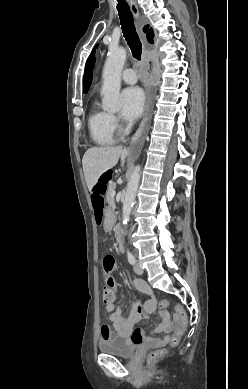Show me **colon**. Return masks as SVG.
I'll use <instances>...</instances> for the list:
<instances>
[{
	"label": "colon",
	"instance_id": "5ec220e1",
	"mask_svg": "<svg viewBox=\"0 0 248 389\" xmlns=\"http://www.w3.org/2000/svg\"><path fill=\"white\" fill-rule=\"evenodd\" d=\"M110 181L109 172L105 171L104 175H100L99 179L97 180V185L94 186V189L91 193V204L94 210V217L100 218L103 214V204H104V196L107 191V185ZM103 269H104V282H105V288L103 290V300L104 303L107 304L108 302H111L114 299V295L111 292H117L118 291V283L115 279H111L109 274H116L118 272V269L115 266V259L111 255H107L103 258L102 261ZM118 279H123V274L117 275ZM110 286V291L108 290ZM170 300L165 299L158 303V307L160 309H166L170 305ZM175 313L178 323V328L170 338V344L172 346H175L178 344L180 338L186 333L188 328V315L186 310L181 304L175 305ZM136 341V339H134ZM163 353V350H157L151 354V359L155 360L158 357H160Z\"/></svg>",
	"mask_w": 248,
	"mask_h": 389
}]
</instances>
